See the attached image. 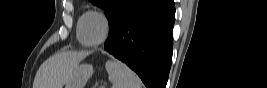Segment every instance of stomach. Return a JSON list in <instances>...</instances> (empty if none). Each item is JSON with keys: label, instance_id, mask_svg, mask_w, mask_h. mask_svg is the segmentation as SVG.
Listing matches in <instances>:
<instances>
[{"label": "stomach", "instance_id": "0dacf381", "mask_svg": "<svg viewBox=\"0 0 267 88\" xmlns=\"http://www.w3.org/2000/svg\"><path fill=\"white\" fill-rule=\"evenodd\" d=\"M93 74V67L89 64H81L73 72L66 83L65 88H84L86 82Z\"/></svg>", "mask_w": 267, "mask_h": 88}]
</instances>
